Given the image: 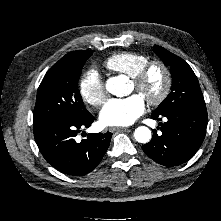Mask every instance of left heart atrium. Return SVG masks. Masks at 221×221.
<instances>
[{
    "mask_svg": "<svg viewBox=\"0 0 221 221\" xmlns=\"http://www.w3.org/2000/svg\"><path fill=\"white\" fill-rule=\"evenodd\" d=\"M145 111V101L140 94L127 98L110 99L100 111V121L106 126H128Z\"/></svg>",
    "mask_w": 221,
    "mask_h": 221,
    "instance_id": "1",
    "label": "left heart atrium"
}]
</instances>
